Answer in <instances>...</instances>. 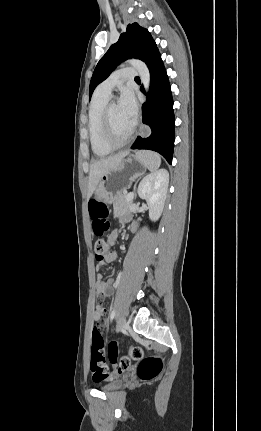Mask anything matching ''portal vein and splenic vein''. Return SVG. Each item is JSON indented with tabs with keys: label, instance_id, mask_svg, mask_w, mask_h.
I'll return each mask as SVG.
<instances>
[{
	"label": "portal vein and splenic vein",
	"instance_id": "portal-vein-and-splenic-vein-1",
	"mask_svg": "<svg viewBox=\"0 0 261 431\" xmlns=\"http://www.w3.org/2000/svg\"><path fill=\"white\" fill-rule=\"evenodd\" d=\"M133 197H134V194H133V193H129V194L127 195L126 200H127V201H131V200L133 199Z\"/></svg>",
	"mask_w": 261,
	"mask_h": 431
}]
</instances>
